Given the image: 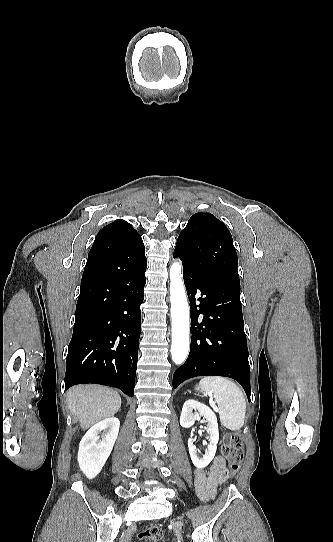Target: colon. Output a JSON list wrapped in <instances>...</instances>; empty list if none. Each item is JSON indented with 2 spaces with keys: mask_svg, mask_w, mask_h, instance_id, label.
<instances>
[{
  "mask_svg": "<svg viewBox=\"0 0 333 542\" xmlns=\"http://www.w3.org/2000/svg\"><path fill=\"white\" fill-rule=\"evenodd\" d=\"M243 445V437L240 432H227L224 435L221 451L232 474H235L240 468ZM138 538L142 542H160L163 539V532L160 527L151 525L141 530L138 533Z\"/></svg>",
  "mask_w": 333,
  "mask_h": 542,
  "instance_id": "1",
  "label": "colon"
}]
</instances>
